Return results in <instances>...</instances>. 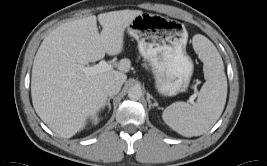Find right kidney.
Returning a JSON list of instances; mask_svg holds the SVG:
<instances>
[{"label":"right kidney","mask_w":267,"mask_h":166,"mask_svg":"<svg viewBox=\"0 0 267 166\" xmlns=\"http://www.w3.org/2000/svg\"><path fill=\"white\" fill-rule=\"evenodd\" d=\"M93 121H94V124H97L98 118L96 116H93Z\"/></svg>","instance_id":"ca27d5eb"}]
</instances>
